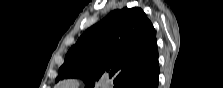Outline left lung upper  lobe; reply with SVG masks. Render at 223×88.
Instances as JSON below:
<instances>
[{
  "instance_id": "1",
  "label": "left lung upper lobe",
  "mask_w": 223,
  "mask_h": 88,
  "mask_svg": "<svg viewBox=\"0 0 223 88\" xmlns=\"http://www.w3.org/2000/svg\"><path fill=\"white\" fill-rule=\"evenodd\" d=\"M156 59V32L143 10H114L87 29L68 51L56 82L80 77L85 88H94L90 79L108 74L114 88H124Z\"/></svg>"
}]
</instances>
